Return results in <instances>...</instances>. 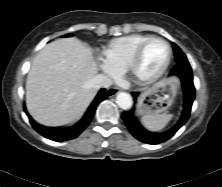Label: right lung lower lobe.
I'll return each instance as SVG.
<instances>
[{"mask_svg": "<svg viewBox=\"0 0 222 187\" xmlns=\"http://www.w3.org/2000/svg\"><path fill=\"white\" fill-rule=\"evenodd\" d=\"M106 90L105 89H101L97 96L95 97V99L93 100V102L91 103V105L89 106L88 110L86 111L85 115L83 116V118L76 123L75 125L69 127V128H65V129H47L39 124H37L31 117L30 115L27 113V111L25 110L26 114L29 117L30 123L32 124L33 128L40 133L42 136L53 140V141H57V142H61V141H66V140H71L74 139L75 137H77L86 127L87 125L90 123V121L92 120V117L95 114V110L98 106V104L103 101L104 99H106Z\"/></svg>", "mask_w": 222, "mask_h": 187, "instance_id": "1", "label": "right lung lower lobe"}]
</instances>
